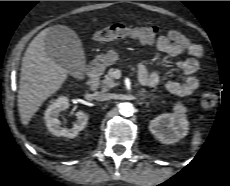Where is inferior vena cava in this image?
I'll return each mask as SVG.
<instances>
[{
    "mask_svg": "<svg viewBox=\"0 0 230 186\" xmlns=\"http://www.w3.org/2000/svg\"><path fill=\"white\" fill-rule=\"evenodd\" d=\"M95 98L100 100V101H106L110 99V94L109 93H104V92H96L95 93Z\"/></svg>",
    "mask_w": 230,
    "mask_h": 186,
    "instance_id": "1",
    "label": "inferior vena cava"
}]
</instances>
